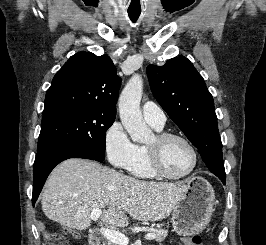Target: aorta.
<instances>
[{
  "mask_svg": "<svg viewBox=\"0 0 266 245\" xmlns=\"http://www.w3.org/2000/svg\"><path fill=\"white\" fill-rule=\"evenodd\" d=\"M143 80L140 74H133L119 96L121 123L134 143H146L151 139V129L144 123L140 110Z\"/></svg>",
  "mask_w": 266,
  "mask_h": 245,
  "instance_id": "762f6f07",
  "label": "aorta"
}]
</instances>
